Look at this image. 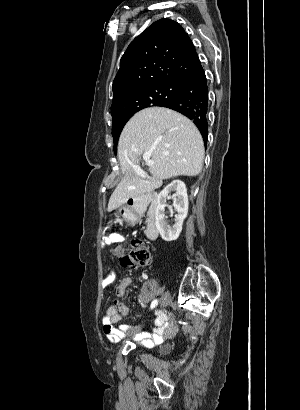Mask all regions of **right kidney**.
<instances>
[{
  "mask_svg": "<svg viewBox=\"0 0 300 410\" xmlns=\"http://www.w3.org/2000/svg\"><path fill=\"white\" fill-rule=\"evenodd\" d=\"M174 192L173 207L177 211L175 216V224L171 227L165 220L166 200L169 194ZM188 213V195L187 189L183 181L173 180L168 184L157 196V206L155 208V224L161 237L165 241L176 240L181 231L183 221Z\"/></svg>",
  "mask_w": 300,
  "mask_h": 410,
  "instance_id": "obj_1",
  "label": "right kidney"
}]
</instances>
